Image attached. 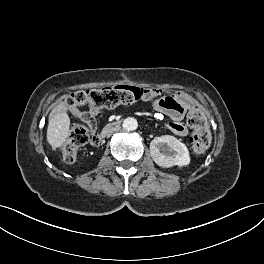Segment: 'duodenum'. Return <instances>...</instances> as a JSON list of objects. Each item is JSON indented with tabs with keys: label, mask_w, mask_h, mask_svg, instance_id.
I'll return each instance as SVG.
<instances>
[{
	"label": "duodenum",
	"mask_w": 264,
	"mask_h": 264,
	"mask_svg": "<svg viewBox=\"0 0 264 264\" xmlns=\"http://www.w3.org/2000/svg\"><path fill=\"white\" fill-rule=\"evenodd\" d=\"M120 125V121L119 120H114L110 123H108L103 130L101 131V133L98 135L99 140H102L103 138H105L107 135H109L110 130H115L116 128H118Z\"/></svg>",
	"instance_id": "410a0bca"
}]
</instances>
